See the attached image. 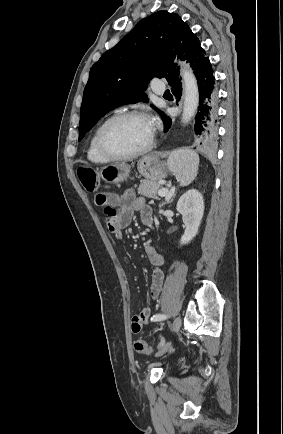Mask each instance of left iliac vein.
Segmentation results:
<instances>
[{"instance_id":"left-iliac-vein-1","label":"left iliac vein","mask_w":283,"mask_h":434,"mask_svg":"<svg viewBox=\"0 0 283 434\" xmlns=\"http://www.w3.org/2000/svg\"><path fill=\"white\" fill-rule=\"evenodd\" d=\"M181 324H182L181 318L176 317L174 322H173V327H172L173 333H177L180 330ZM170 345H171V343H168L164 349H162L161 351H159L156 354V357L163 355L169 349Z\"/></svg>"}]
</instances>
